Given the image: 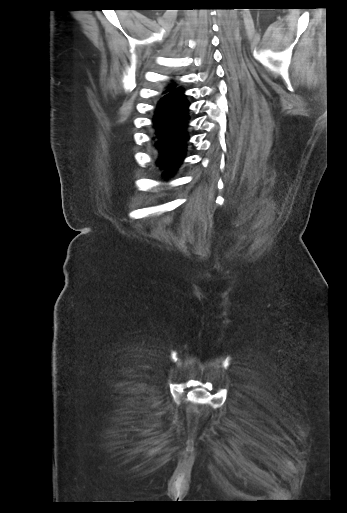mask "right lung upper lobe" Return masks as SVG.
<instances>
[{"label": "right lung upper lobe", "mask_w": 347, "mask_h": 513, "mask_svg": "<svg viewBox=\"0 0 347 513\" xmlns=\"http://www.w3.org/2000/svg\"><path fill=\"white\" fill-rule=\"evenodd\" d=\"M173 88H175V86H174L173 84H170V85L168 86V89H167L165 92H167V91H169V90H172Z\"/></svg>", "instance_id": "1"}]
</instances>
